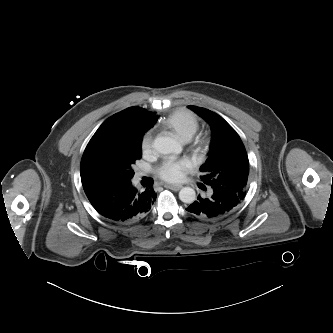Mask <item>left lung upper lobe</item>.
I'll return each mask as SVG.
<instances>
[{
    "mask_svg": "<svg viewBox=\"0 0 333 333\" xmlns=\"http://www.w3.org/2000/svg\"><path fill=\"white\" fill-rule=\"evenodd\" d=\"M189 109L206 120L212 129V140L200 177L208 186H223L242 201L246 194L249 161L245 147L236 131L218 114L190 105Z\"/></svg>",
    "mask_w": 333,
    "mask_h": 333,
    "instance_id": "obj_1",
    "label": "left lung upper lobe"
}]
</instances>
